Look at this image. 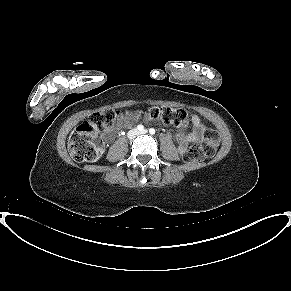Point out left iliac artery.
I'll use <instances>...</instances> for the list:
<instances>
[{
	"mask_svg": "<svg viewBox=\"0 0 291 291\" xmlns=\"http://www.w3.org/2000/svg\"><path fill=\"white\" fill-rule=\"evenodd\" d=\"M149 132H150V134H155V129L154 128H151L150 130H149Z\"/></svg>",
	"mask_w": 291,
	"mask_h": 291,
	"instance_id": "obj_1",
	"label": "left iliac artery"
}]
</instances>
